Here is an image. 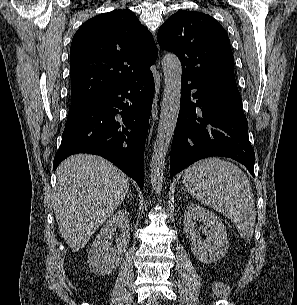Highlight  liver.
<instances>
[{"label":"liver","mask_w":297,"mask_h":305,"mask_svg":"<svg viewBox=\"0 0 297 305\" xmlns=\"http://www.w3.org/2000/svg\"><path fill=\"white\" fill-rule=\"evenodd\" d=\"M128 189L127 176L100 156L76 154L59 165L53 209L61 236L73 252L87 244Z\"/></svg>","instance_id":"6515ba94"}]
</instances>
